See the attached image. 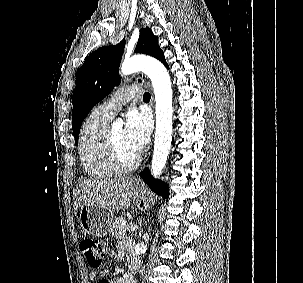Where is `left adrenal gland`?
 <instances>
[{"label":"left adrenal gland","instance_id":"1","mask_svg":"<svg viewBox=\"0 0 303 283\" xmlns=\"http://www.w3.org/2000/svg\"><path fill=\"white\" fill-rule=\"evenodd\" d=\"M143 233V229L141 228L139 231V235H141Z\"/></svg>","mask_w":303,"mask_h":283}]
</instances>
